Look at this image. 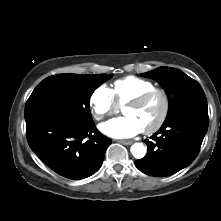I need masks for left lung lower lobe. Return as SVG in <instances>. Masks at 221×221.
Listing matches in <instances>:
<instances>
[{
    "mask_svg": "<svg viewBox=\"0 0 221 221\" xmlns=\"http://www.w3.org/2000/svg\"><path fill=\"white\" fill-rule=\"evenodd\" d=\"M209 124L207 103L185 107L166 119L162 127L145 140L148 152L135 161L143 173L164 177L188 166L198 155Z\"/></svg>",
    "mask_w": 221,
    "mask_h": 221,
    "instance_id": "left-lung-lower-lobe-1",
    "label": "left lung lower lobe"
}]
</instances>
